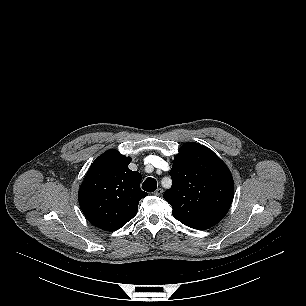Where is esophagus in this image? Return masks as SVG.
Wrapping results in <instances>:
<instances>
[{
    "instance_id": "esophagus-1",
    "label": "esophagus",
    "mask_w": 306,
    "mask_h": 306,
    "mask_svg": "<svg viewBox=\"0 0 306 306\" xmlns=\"http://www.w3.org/2000/svg\"><path fill=\"white\" fill-rule=\"evenodd\" d=\"M162 193H163V189H162V188H158V189L154 192V195H155V196H160V195H162Z\"/></svg>"
}]
</instances>
